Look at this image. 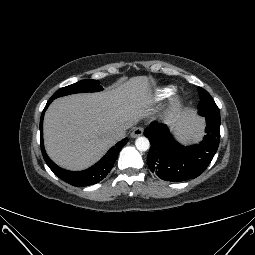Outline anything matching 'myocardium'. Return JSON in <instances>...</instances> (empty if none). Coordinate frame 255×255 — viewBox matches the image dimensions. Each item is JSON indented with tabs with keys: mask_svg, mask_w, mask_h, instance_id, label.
I'll return each instance as SVG.
<instances>
[{
	"mask_svg": "<svg viewBox=\"0 0 255 255\" xmlns=\"http://www.w3.org/2000/svg\"><path fill=\"white\" fill-rule=\"evenodd\" d=\"M173 104H174L175 106H180V104H181V99H180V98H175V99L173 100Z\"/></svg>",
	"mask_w": 255,
	"mask_h": 255,
	"instance_id": "myocardium-1",
	"label": "myocardium"
}]
</instances>
